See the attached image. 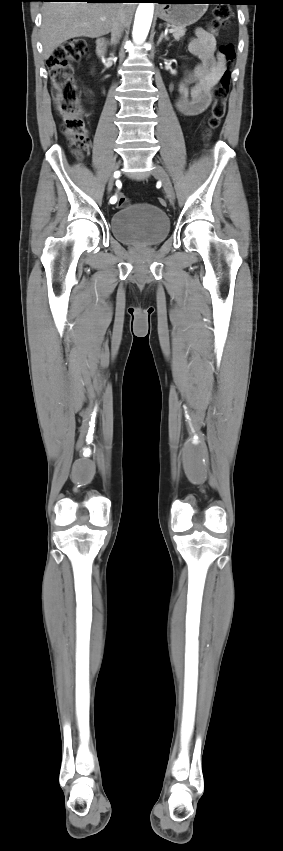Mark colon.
<instances>
[{"instance_id":"1","label":"colon","mask_w":283,"mask_h":851,"mask_svg":"<svg viewBox=\"0 0 283 851\" xmlns=\"http://www.w3.org/2000/svg\"><path fill=\"white\" fill-rule=\"evenodd\" d=\"M231 17L232 11L230 7H216L214 9V26L217 29L228 28ZM87 49L88 44L84 38H72L57 47L52 56L47 60V68L56 99L57 111L62 120V133L72 144L77 146L74 153L78 159L82 158L83 154L89 150L90 139L79 105V92L74 80V68L72 64L79 61L86 54ZM220 53L225 60L226 66L235 58V48L231 43L222 44L220 46ZM230 80V71L225 69L220 78L219 85L214 92L208 129L205 132L206 138L211 135L213 130L219 127L221 120L225 116ZM158 203L161 206L166 205V201L163 198H159ZM128 204V198L123 195L117 196V207H124Z\"/></svg>"}]
</instances>
